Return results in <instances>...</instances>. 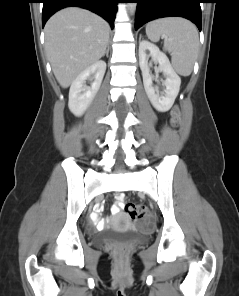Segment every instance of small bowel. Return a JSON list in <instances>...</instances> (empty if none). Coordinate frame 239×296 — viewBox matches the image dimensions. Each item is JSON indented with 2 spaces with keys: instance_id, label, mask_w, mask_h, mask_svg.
Instances as JSON below:
<instances>
[{
  "instance_id": "obj_1",
  "label": "small bowel",
  "mask_w": 239,
  "mask_h": 296,
  "mask_svg": "<svg viewBox=\"0 0 239 296\" xmlns=\"http://www.w3.org/2000/svg\"><path fill=\"white\" fill-rule=\"evenodd\" d=\"M118 200H119V202L117 204L113 205L112 208H111V212L114 215H116V214H118L120 212V207H121L120 201L122 200V197L120 196L118 198ZM92 218H93L94 222H97V223L99 222L97 214H93Z\"/></svg>"
}]
</instances>
